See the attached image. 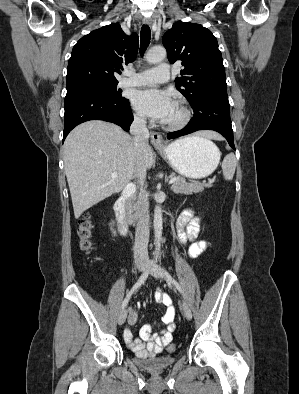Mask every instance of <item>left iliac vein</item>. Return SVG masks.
Masks as SVG:
<instances>
[{"label":"left iliac vein","instance_id":"obj_1","mask_svg":"<svg viewBox=\"0 0 299 394\" xmlns=\"http://www.w3.org/2000/svg\"><path fill=\"white\" fill-rule=\"evenodd\" d=\"M150 274L153 277L158 278V279L164 278V273H163L162 268L156 263H153L151 265ZM182 311H183V314L186 317V319L190 320L192 318L191 309L189 308V306L186 302L182 303Z\"/></svg>","mask_w":299,"mask_h":394}]
</instances>
